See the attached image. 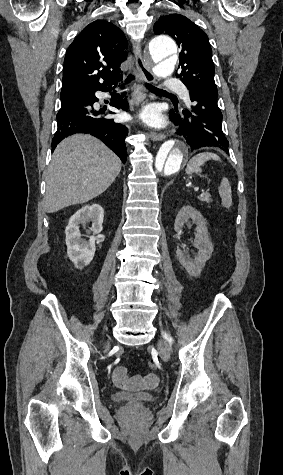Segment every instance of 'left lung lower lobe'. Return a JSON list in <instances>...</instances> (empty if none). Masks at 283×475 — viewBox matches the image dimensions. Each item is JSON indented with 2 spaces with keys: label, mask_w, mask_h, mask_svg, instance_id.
<instances>
[{
  "label": "left lung lower lobe",
  "mask_w": 283,
  "mask_h": 475,
  "mask_svg": "<svg viewBox=\"0 0 283 475\" xmlns=\"http://www.w3.org/2000/svg\"><path fill=\"white\" fill-rule=\"evenodd\" d=\"M189 91L193 105L182 112L170 110V117L180 125L178 132L185 137L191 151L218 147L229 153L221 125L223 116L217 105L218 93L202 88Z\"/></svg>",
  "instance_id": "obj_1"
}]
</instances>
